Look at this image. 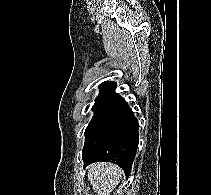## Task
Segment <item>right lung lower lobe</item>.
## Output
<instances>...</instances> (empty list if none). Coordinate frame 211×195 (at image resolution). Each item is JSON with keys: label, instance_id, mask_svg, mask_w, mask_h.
I'll list each match as a JSON object with an SVG mask.
<instances>
[{"label": "right lung lower lobe", "instance_id": "1", "mask_svg": "<svg viewBox=\"0 0 211 195\" xmlns=\"http://www.w3.org/2000/svg\"><path fill=\"white\" fill-rule=\"evenodd\" d=\"M138 141V121L127 102L115 93L85 139L84 168L98 161L112 162L128 177Z\"/></svg>", "mask_w": 211, "mask_h": 195}]
</instances>
